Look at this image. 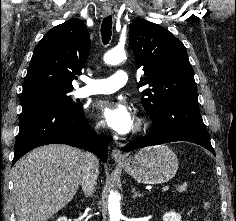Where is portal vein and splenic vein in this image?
<instances>
[{
  "label": "portal vein and splenic vein",
  "instance_id": "18ae733b",
  "mask_svg": "<svg viewBox=\"0 0 236 221\" xmlns=\"http://www.w3.org/2000/svg\"><path fill=\"white\" fill-rule=\"evenodd\" d=\"M169 188H170L169 185H165V186L162 188V192H166V191H168Z\"/></svg>",
  "mask_w": 236,
  "mask_h": 221
}]
</instances>
